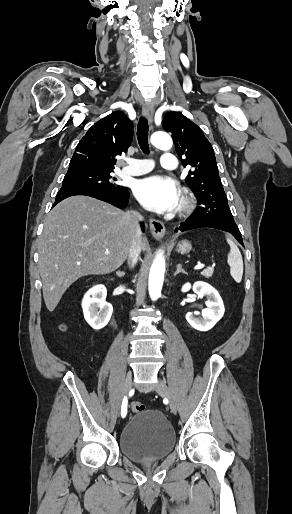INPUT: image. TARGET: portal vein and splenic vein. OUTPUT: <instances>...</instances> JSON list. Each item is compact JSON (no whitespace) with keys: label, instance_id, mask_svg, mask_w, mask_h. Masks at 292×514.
<instances>
[{"label":"portal vein and splenic vein","instance_id":"18ae733b","mask_svg":"<svg viewBox=\"0 0 292 514\" xmlns=\"http://www.w3.org/2000/svg\"><path fill=\"white\" fill-rule=\"evenodd\" d=\"M105 254H110L108 250H106ZM201 268H204L203 264H199V266H195L194 270H201Z\"/></svg>","mask_w":292,"mask_h":514}]
</instances>
